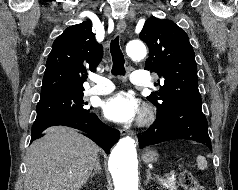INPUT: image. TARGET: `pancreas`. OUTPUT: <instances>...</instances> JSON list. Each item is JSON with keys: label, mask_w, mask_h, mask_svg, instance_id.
<instances>
[{"label": "pancreas", "mask_w": 238, "mask_h": 190, "mask_svg": "<svg viewBox=\"0 0 238 190\" xmlns=\"http://www.w3.org/2000/svg\"><path fill=\"white\" fill-rule=\"evenodd\" d=\"M159 182L164 188L168 190H177L176 179H171L169 177L161 178L159 179Z\"/></svg>", "instance_id": "1"}]
</instances>
